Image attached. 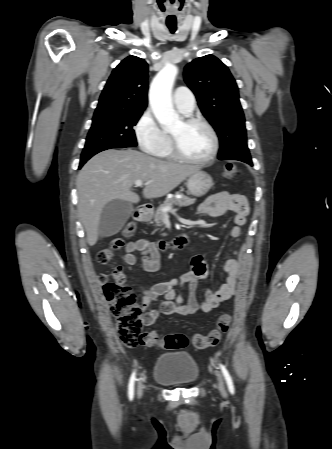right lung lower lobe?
<instances>
[{
  "instance_id": "98d812e1",
  "label": "right lung lower lobe",
  "mask_w": 332,
  "mask_h": 449,
  "mask_svg": "<svg viewBox=\"0 0 332 449\" xmlns=\"http://www.w3.org/2000/svg\"><path fill=\"white\" fill-rule=\"evenodd\" d=\"M103 151V150H102ZM98 153V152H97ZM96 153H94V154H90V155H86V156H82L81 157V161H80V165H79V168H81L82 166H83V164L88 160V159H90L93 155H95Z\"/></svg>"
}]
</instances>
